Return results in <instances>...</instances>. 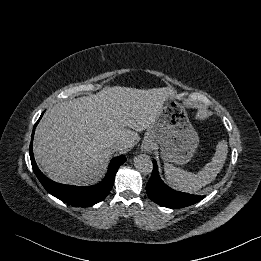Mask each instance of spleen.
Returning <instances> with one entry per match:
<instances>
[{"label":"spleen","mask_w":261,"mask_h":261,"mask_svg":"<svg viewBox=\"0 0 261 261\" xmlns=\"http://www.w3.org/2000/svg\"><path fill=\"white\" fill-rule=\"evenodd\" d=\"M228 145L225 140L218 142L212 161L207 163L197 174L177 168L172 164L165 163L164 171L167 182L174 188L194 192L213 181L223 168L227 158Z\"/></svg>","instance_id":"3e777b00"}]
</instances>
